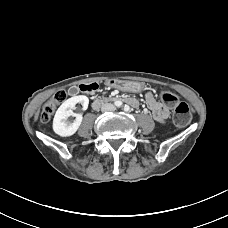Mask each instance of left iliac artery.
I'll list each match as a JSON object with an SVG mask.
<instances>
[{"mask_svg": "<svg viewBox=\"0 0 228 228\" xmlns=\"http://www.w3.org/2000/svg\"><path fill=\"white\" fill-rule=\"evenodd\" d=\"M124 110H125V111H129V106L125 105V106H124Z\"/></svg>", "mask_w": 228, "mask_h": 228, "instance_id": "obj_1", "label": "left iliac artery"}]
</instances>
